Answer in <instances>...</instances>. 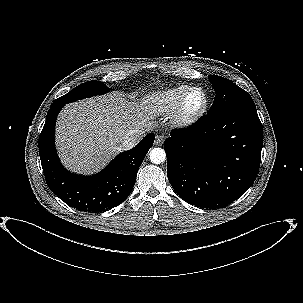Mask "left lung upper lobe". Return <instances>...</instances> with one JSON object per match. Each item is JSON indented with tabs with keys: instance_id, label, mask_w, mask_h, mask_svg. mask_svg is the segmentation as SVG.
I'll list each match as a JSON object with an SVG mask.
<instances>
[{
	"instance_id": "obj_1",
	"label": "left lung upper lobe",
	"mask_w": 303,
	"mask_h": 303,
	"mask_svg": "<svg viewBox=\"0 0 303 303\" xmlns=\"http://www.w3.org/2000/svg\"><path fill=\"white\" fill-rule=\"evenodd\" d=\"M216 96L207 114H217L237 109L256 108L248 92L238 87L229 79L218 75H210Z\"/></svg>"
}]
</instances>
